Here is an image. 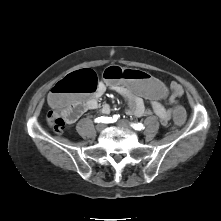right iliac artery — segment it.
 Masks as SVG:
<instances>
[{
	"label": "right iliac artery",
	"instance_id": "obj_1",
	"mask_svg": "<svg viewBox=\"0 0 221 221\" xmlns=\"http://www.w3.org/2000/svg\"><path fill=\"white\" fill-rule=\"evenodd\" d=\"M118 118H119V115H114L113 117H98L95 119V122L96 123H100V122L111 123V122L117 121Z\"/></svg>",
	"mask_w": 221,
	"mask_h": 221
}]
</instances>
